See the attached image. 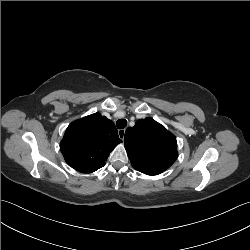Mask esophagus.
<instances>
[{
    "label": "esophagus",
    "mask_w": 250,
    "mask_h": 250,
    "mask_svg": "<svg viewBox=\"0 0 250 250\" xmlns=\"http://www.w3.org/2000/svg\"><path fill=\"white\" fill-rule=\"evenodd\" d=\"M118 135H119V138L124 140V137H125V129H120L118 130Z\"/></svg>",
    "instance_id": "1"
}]
</instances>
